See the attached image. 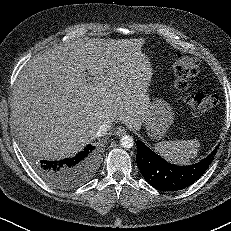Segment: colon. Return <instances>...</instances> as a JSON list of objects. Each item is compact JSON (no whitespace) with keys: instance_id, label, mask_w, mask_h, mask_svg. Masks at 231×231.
I'll list each match as a JSON object with an SVG mask.
<instances>
[{"instance_id":"5ec220e1","label":"colon","mask_w":231,"mask_h":231,"mask_svg":"<svg viewBox=\"0 0 231 231\" xmlns=\"http://www.w3.org/2000/svg\"><path fill=\"white\" fill-rule=\"evenodd\" d=\"M199 68L200 61L198 58L178 55L174 62L175 86L177 89H188ZM184 101L193 114L199 115L216 106L217 96L211 92H199L186 95Z\"/></svg>"}]
</instances>
